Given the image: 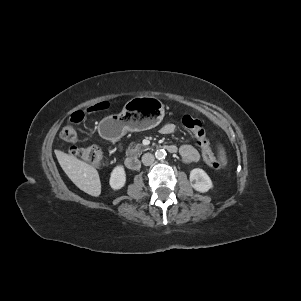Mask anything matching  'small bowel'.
I'll return each mask as SVG.
<instances>
[{
	"label": "small bowel",
	"mask_w": 301,
	"mask_h": 301,
	"mask_svg": "<svg viewBox=\"0 0 301 301\" xmlns=\"http://www.w3.org/2000/svg\"><path fill=\"white\" fill-rule=\"evenodd\" d=\"M176 131V126L172 123L165 124L160 133L164 135L172 134ZM182 160L186 163H197L201 159L199 151L191 145H184L179 149Z\"/></svg>",
	"instance_id": "1"
}]
</instances>
